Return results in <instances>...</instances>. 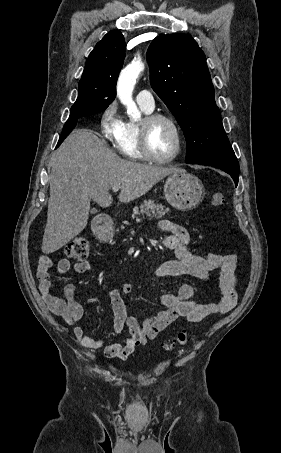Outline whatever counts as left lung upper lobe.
<instances>
[{"label": "left lung upper lobe", "instance_id": "left-lung-upper-lobe-1", "mask_svg": "<svg viewBox=\"0 0 281 453\" xmlns=\"http://www.w3.org/2000/svg\"><path fill=\"white\" fill-rule=\"evenodd\" d=\"M147 57L151 86L184 132L186 163L234 156L197 42L187 34L160 35L149 46Z\"/></svg>", "mask_w": 281, "mask_h": 453}]
</instances>
